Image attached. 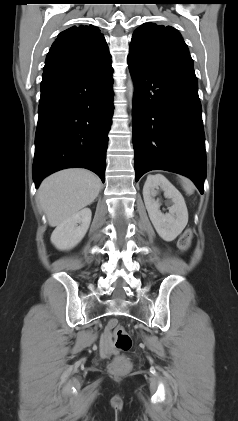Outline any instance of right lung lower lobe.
Masks as SVG:
<instances>
[{
    "instance_id": "1",
    "label": "right lung lower lobe",
    "mask_w": 238,
    "mask_h": 421,
    "mask_svg": "<svg viewBox=\"0 0 238 421\" xmlns=\"http://www.w3.org/2000/svg\"><path fill=\"white\" fill-rule=\"evenodd\" d=\"M111 63L44 69L35 137L33 180L83 167L105 180L113 115Z\"/></svg>"
}]
</instances>
